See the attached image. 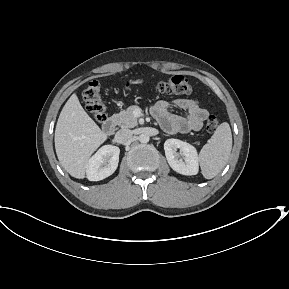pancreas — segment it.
<instances>
[{"label": "pancreas", "instance_id": "obj_1", "mask_svg": "<svg viewBox=\"0 0 289 289\" xmlns=\"http://www.w3.org/2000/svg\"><path fill=\"white\" fill-rule=\"evenodd\" d=\"M137 109H139V107L136 105L129 106L126 110L114 114L112 118L116 124L122 128H134L138 123L137 117L134 116L133 112Z\"/></svg>", "mask_w": 289, "mask_h": 289}]
</instances>
